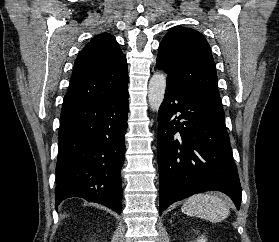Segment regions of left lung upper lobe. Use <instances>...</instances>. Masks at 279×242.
<instances>
[{
  "mask_svg": "<svg viewBox=\"0 0 279 242\" xmlns=\"http://www.w3.org/2000/svg\"><path fill=\"white\" fill-rule=\"evenodd\" d=\"M157 64L224 117L211 48L201 33L181 26L172 28L160 43Z\"/></svg>",
  "mask_w": 279,
  "mask_h": 242,
  "instance_id": "left-lung-upper-lobe-1",
  "label": "left lung upper lobe"
}]
</instances>
